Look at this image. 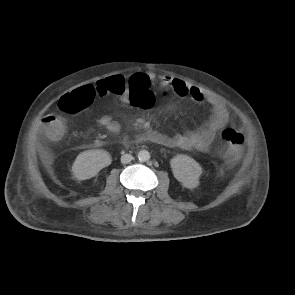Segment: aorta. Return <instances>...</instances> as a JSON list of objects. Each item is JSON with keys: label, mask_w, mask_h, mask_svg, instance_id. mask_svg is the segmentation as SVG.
Instances as JSON below:
<instances>
[{"label": "aorta", "mask_w": 295, "mask_h": 295, "mask_svg": "<svg viewBox=\"0 0 295 295\" xmlns=\"http://www.w3.org/2000/svg\"><path fill=\"white\" fill-rule=\"evenodd\" d=\"M138 159L141 162H146L150 159V153L147 150H141L138 152Z\"/></svg>", "instance_id": "aorta-1"}]
</instances>
